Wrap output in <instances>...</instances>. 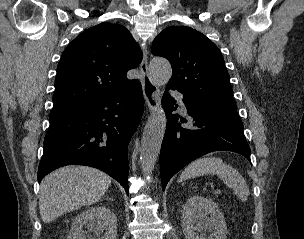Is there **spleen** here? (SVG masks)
I'll return each instance as SVG.
<instances>
[{"mask_svg": "<svg viewBox=\"0 0 304 239\" xmlns=\"http://www.w3.org/2000/svg\"><path fill=\"white\" fill-rule=\"evenodd\" d=\"M206 174L217 175L242 201H246L250 192L241 174L232 166L216 157L199 158L190 163L181 173L180 180L196 178Z\"/></svg>", "mask_w": 304, "mask_h": 239, "instance_id": "1", "label": "spleen"}]
</instances>
